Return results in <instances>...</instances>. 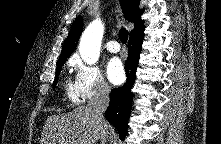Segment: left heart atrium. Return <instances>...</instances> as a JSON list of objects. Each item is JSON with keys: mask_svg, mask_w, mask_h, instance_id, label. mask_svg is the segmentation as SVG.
I'll list each match as a JSON object with an SVG mask.
<instances>
[{"mask_svg": "<svg viewBox=\"0 0 221 144\" xmlns=\"http://www.w3.org/2000/svg\"><path fill=\"white\" fill-rule=\"evenodd\" d=\"M107 76L114 84H119L124 79V68L119 58H112L107 63Z\"/></svg>", "mask_w": 221, "mask_h": 144, "instance_id": "obj_1", "label": "left heart atrium"}]
</instances>
